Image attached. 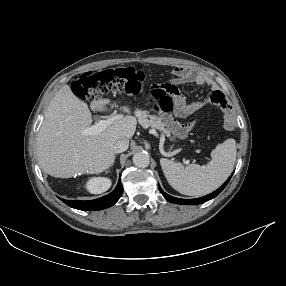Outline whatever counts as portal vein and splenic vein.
<instances>
[{
	"instance_id": "18ae733b",
	"label": "portal vein and splenic vein",
	"mask_w": 286,
	"mask_h": 286,
	"mask_svg": "<svg viewBox=\"0 0 286 286\" xmlns=\"http://www.w3.org/2000/svg\"><path fill=\"white\" fill-rule=\"evenodd\" d=\"M120 117H112L109 118L107 120H100L98 123H96L95 125H92L90 127L85 128L82 133L84 135H96L100 132H102L103 130H105L109 125L113 124L115 121L119 120ZM151 133L157 136V133L154 130H151ZM186 164H188V162L186 161Z\"/></svg>"
}]
</instances>
